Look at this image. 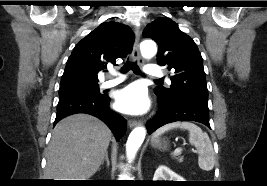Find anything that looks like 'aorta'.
Masks as SVG:
<instances>
[{
    "instance_id": "obj_1",
    "label": "aorta",
    "mask_w": 267,
    "mask_h": 186,
    "mask_svg": "<svg viewBox=\"0 0 267 186\" xmlns=\"http://www.w3.org/2000/svg\"><path fill=\"white\" fill-rule=\"evenodd\" d=\"M141 54L145 58L153 57L157 52L156 43L153 40H144L140 45ZM146 136L144 127H136L130 133L126 143V155L129 161H132L142 145Z\"/></svg>"
}]
</instances>
